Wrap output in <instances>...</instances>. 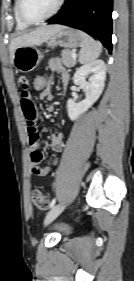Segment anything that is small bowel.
<instances>
[{"label":"small bowel","mask_w":134,"mask_h":281,"mask_svg":"<svg viewBox=\"0 0 134 281\" xmlns=\"http://www.w3.org/2000/svg\"><path fill=\"white\" fill-rule=\"evenodd\" d=\"M49 68L59 74L62 85L66 87L69 83V74L62 67L58 58H51L49 60ZM17 88L20 90V104L24 115V119L27 125V130L30 135V170L35 176L46 177L48 176L52 168L57 165L58 157L55 156L50 166H41L44 155L39 150V137L37 133V108L33 100L31 91V82L27 75H19L16 78ZM40 98L43 100H52L53 95L51 93V82H48L46 89L40 93ZM51 149L56 153H60L63 150V137L60 134H53L50 137Z\"/></svg>","instance_id":"1"}]
</instances>
